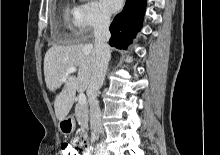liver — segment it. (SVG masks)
Masks as SVG:
<instances>
[{"instance_id": "1", "label": "liver", "mask_w": 220, "mask_h": 155, "mask_svg": "<svg viewBox=\"0 0 220 155\" xmlns=\"http://www.w3.org/2000/svg\"><path fill=\"white\" fill-rule=\"evenodd\" d=\"M93 45L52 46L44 57V76L48 89L62 91L56 95L54 109L56 118L61 121L69 114L76 96V91H85L92 73ZM70 67L78 68L77 77L69 75L65 82L62 77Z\"/></svg>"}]
</instances>
